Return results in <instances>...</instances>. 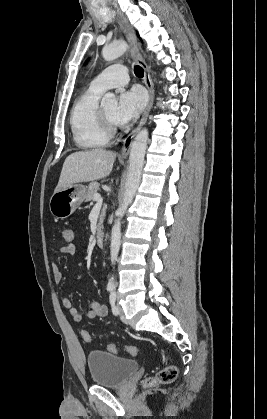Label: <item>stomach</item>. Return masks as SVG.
I'll use <instances>...</instances> for the list:
<instances>
[{"label":"stomach","instance_id":"0dacf381","mask_svg":"<svg viewBox=\"0 0 267 419\" xmlns=\"http://www.w3.org/2000/svg\"><path fill=\"white\" fill-rule=\"evenodd\" d=\"M86 197V187L75 183L68 188L54 192L50 198L49 208L51 214L60 219L69 217Z\"/></svg>","mask_w":267,"mask_h":419}]
</instances>
